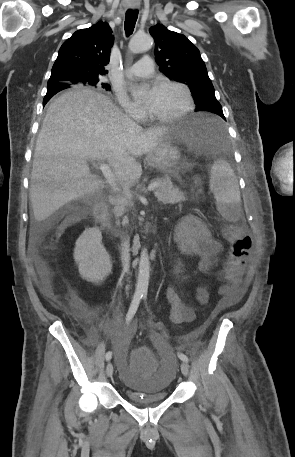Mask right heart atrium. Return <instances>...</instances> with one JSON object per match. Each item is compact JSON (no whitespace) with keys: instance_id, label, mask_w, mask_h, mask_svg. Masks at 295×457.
<instances>
[{"instance_id":"obj_1","label":"right heart atrium","mask_w":295,"mask_h":457,"mask_svg":"<svg viewBox=\"0 0 295 457\" xmlns=\"http://www.w3.org/2000/svg\"><path fill=\"white\" fill-rule=\"evenodd\" d=\"M115 95L122 109L133 119L142 120L145 116L143 108L131 101L123 90H116Z\"/></svg>"}]
</instances>
